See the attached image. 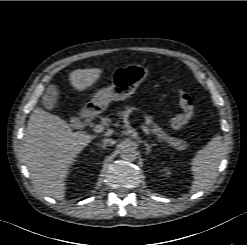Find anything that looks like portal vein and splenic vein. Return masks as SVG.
<instances>
[{"mask_svg":"<svg viewBox=\"0 0 247 245\" xmlns=\"http://www.w3.org/2000/svg\"><path fill=\"white\" fill-rule=\"evenodd\" d=\"M104 130V126L102 124H97L94 126L93 131L96 133H101ZM142 130L147 136H150V132L146 126H142Z\"/></svg>","mask_w":247,"mask_h":245,"instance_id":"18ae733b","label":"portal vein and splenic vein"}]
</instances>
